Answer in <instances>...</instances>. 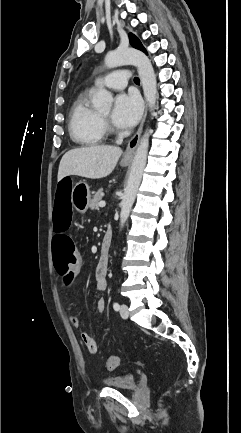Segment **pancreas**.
Masks as SVG:
<instances>
[{
    "label": "pancreas",
    "instance_id": "cf45deb5",
    "mask_svg": "<svg viewBox=\"0 0 241 433\" xmlns=\"http://www.w3.org/2000/svg\"><path fill=\"white\" fill-rule=\"evenodd\" d=\"M103 196V190L99 189L95 195L93 196V198L91 199L90 203H89V208L91 210H98L99 209V203L102 199Z\"/></svg>",
    "mask_w": 241,
    "mask_h": 433
}]
</instances>
